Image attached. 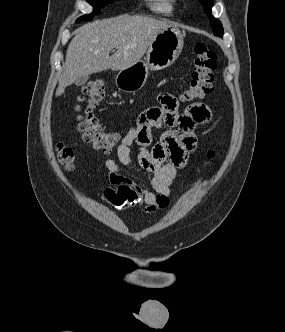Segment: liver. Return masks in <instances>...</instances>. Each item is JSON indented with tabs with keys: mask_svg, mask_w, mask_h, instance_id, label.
<instances>
[{
	"mask_svg": "<svg viewBox=\"0 0 285 332\" xmlns=\"http://www.w3.org/2000/svg\"><path fill=\"white\" fill-rule=\"evenodd\" d=\"M171 22L147 16L122 15L83 25L71 40L56 96L81 76L123 70L140 61L152 41ZM116 48L117 51L109 56Z\"/></svg>",
	"mask_w": 285,
	"mask_h": 332,
	"instance_id": "liver-1",
	"label": "liver"
}]
</instances>
